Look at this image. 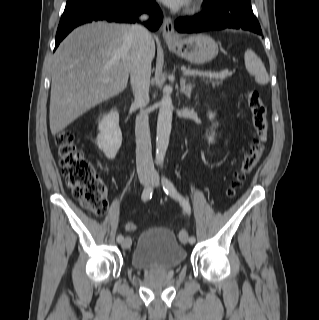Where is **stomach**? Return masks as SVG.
I'll use <instances>...</instances> for the list:
<instances>
[{"label": "stomach", "mask_w": 319, "mask_h": 320, "mask_svg": "<svg viewBox=\"0 0 319 320\" xmlns=\"http://www.w3.org/2000/svg\"><path fill=\"white\" fill-rule=\"evenodd\" d=\"M169 48L179 57L195 64H204L213 60L218 54V45L206 34L179 37L168 42Z\"/></svg>", "instance_id": "obj_1"}]
</instances>
